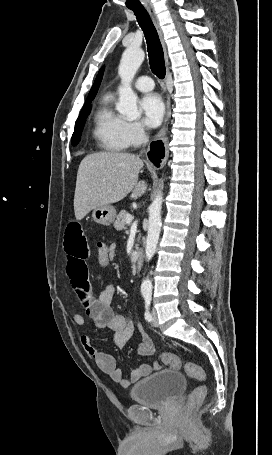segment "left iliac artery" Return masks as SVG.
<instances>
[{
  "label": "left iliac artery",
  "mask_w": 272,
  "mask_h": 455,
  "mask_svg": "<svg viewBox=\"0 0 272 455\" xmlns=\"http://www.w3.org/2000/svg\"><path fill=\"white\" fill-rule=\"evenodd\" d=\"M143 297L145 300V313H144L145 320L150 322L152 320V316L149 311V307H150V303H151V294L146 293L143 295Z\"/></svg>",
  "instance_id": "left-iliac-artery-1"
}]
</instances>
